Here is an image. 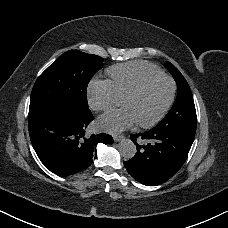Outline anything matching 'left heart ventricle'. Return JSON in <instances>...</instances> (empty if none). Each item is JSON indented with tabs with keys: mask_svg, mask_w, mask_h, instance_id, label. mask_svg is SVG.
Here are the masks:
<instances>
[{
	"mask_svg": "<svg viewBox=\"0 0 228 228\" xmlns=\"http://www.w3.org/2000/svg\"><path fill=\"white\" fill-rule=\"evenodd\" d=\"M168 94V81L159 80L140 96L126 99L124 104L139 122H148L158 114Z\"/></svg>",
	"mask_w": 228,
	"mask_h": 228,
	"instance_id": "left-heart-ventricle-1",
	"label": "left heart ventricle"
}]
</instances>
